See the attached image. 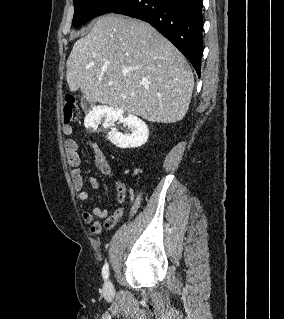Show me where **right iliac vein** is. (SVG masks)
Returning a JSON list of instances; mask_svg holds the SVG:
<instances>
[{
  "mask_svg": "<svg viewBox=\"0 0 284 319\" xmlns=\"http://www.w3.org/2000/svg\"><path fill=\"white\" fill-rule=\"evenodd\" d=\"M104 291L106 294H112L113 293V285L110 280H107L104 284Z\"/></svg>",
  "mask_w": 284,
  "mask_h": 319,
  "instance_id": "right-iliac-vein-1",
  "label": "right iliac vein"
}]
</instances>
